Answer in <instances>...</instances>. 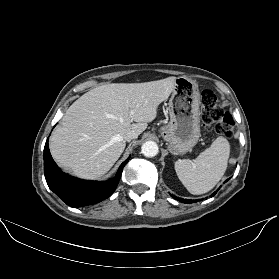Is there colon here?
<instances>
[{"label": "colon", "instance_id": "1", "mask_svg": "<svg viewBox=\"0 0 279 279\" xmlns=\"http://www.w3.org/2000/svg\"><path fill=\"white\" fill-rule=\"evenodd\" d=\"M201 119L206 128L215 129L227 137L232 135V116L223 109L215 94L210 90L202 92Z\"/></svg>", "mask_w": 279, "mask_h": 279}]
</instances>
